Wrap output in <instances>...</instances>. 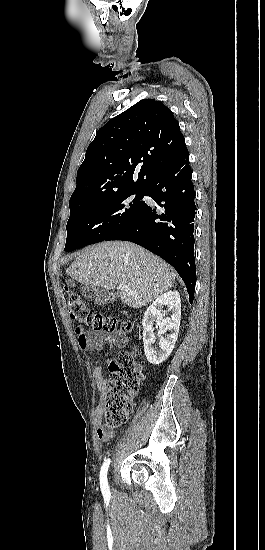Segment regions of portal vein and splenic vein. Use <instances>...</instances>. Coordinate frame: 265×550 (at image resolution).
<instances>
[{
  "label": "portal vein and splenic vein",
  "mask_w": 265,
  "mask_h": 550,
  "mask_svg": "<svg viewBox=\"0 0 265 550\" xmlns=\"http://www.w3.org/2000/svg\"><path fill=\"white\" fill-rule=\"evenodd\" d=\"M118 289L121 290V291H127L128 292L127 286L125 284H119ZM129 293L134 294V292H132V291H129Z\"/></svg>",
  "instance_id": "obj_1"
}]
</instances>
